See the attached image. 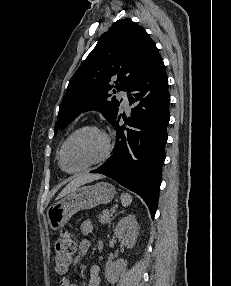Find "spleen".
Segmentation results:
<instances>
[{"instance_id": "spleen-1", "label": "spleen", "mask_w": 231, "mask_h": 286, "mask_svg": "<svg viewBox=\"0 0 231 286\" xmlns=\"http://www.w3.org/2000/svg\"><path fill=\"white\" fill-rule=\"evenodd\" d=\"M121 203L124 207L129 206L132 203V196L129 193H122Z\"/></svg>"}]
</instances>
